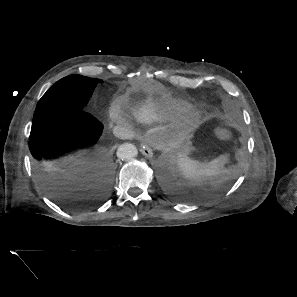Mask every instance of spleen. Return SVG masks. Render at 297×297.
Segmentation results:
<instances>
[{
    "label": "spleen",
    "mask_w": 297,
    "mask_h": 297,
    "mask_svg": "<svg viewBox=\"0 0 297 297\" xmlns=\"http://www.w3.org/2000/svg\"><path fill=\"white\" fill-rule=\"evenodd\" d=\"M226 161V155H221L207 163H201L187 155L179 154L177 162L182 175L191 183L200 185L217 182L218 178L226 173L224 169Z\"/></svg>",
    "instance_id": "obj_1"
}]
</instances>
